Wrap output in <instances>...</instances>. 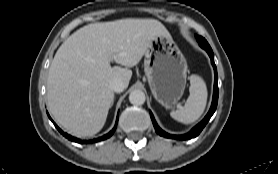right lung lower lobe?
Listing matches in <instances>:
<instances>
[{
	"label": "right lung lower lobe",
	"mask_w": 278,
	"mask_h": 174,
	"mask_svg": "<svg viewBox=\"0 0 278 174\" xmlns=\"http://www.w3.org/2000/svg\"><path fill=\"white\" fill-rule=\"evenodd\" d=\"M48 116H49V115H48ZM49 118H50V116H49ZM50 119H51V118H50ZM51 120H52V119H51ZM52 122H53V120H52ZM117 123H118V117H117L116 124H115L114 128H113L108 134H106V135H104V136H102V137H100V138H96V139H94V140H89V141L83 140V141H81V140H79V139H77V138H74V137L68 135L67 133H64V132L53 122V124L55 125V127L58 129V131H59L60 133L63 134V136H65L66 138H68L69 140H71V141H73V142H78V143H87V142L93 143V142H97V141H101V140H105V139L109 138V137L115 132L116 127H117Z\"/></svg>",
	"instance_id": "obj_1"
}]
</instances>
